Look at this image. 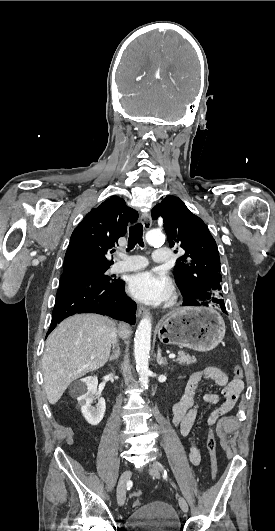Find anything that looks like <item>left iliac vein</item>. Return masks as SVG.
Instances as JSON below:
<instances>
[{"mask_svg": "<svg viewBox=\"0 0 275 531\" xmlns=\"http://www.w3.org/2000/svg\"><path fill=\"white\" fill-rule=\"evenodd\" d=\"M162 470H163L162 464L158 461H153L149 468V473L151 474L153 478L159 479L160 478L159 471H162ZM179 506L185 513L188 512V503L185 500V498L181 496H179Z\"/></svg>", "mask_w": 275, "mask_h": 531, "instance_id": "left-iliac-vein-1", "label": "left iliac vein"}]
</instances>
